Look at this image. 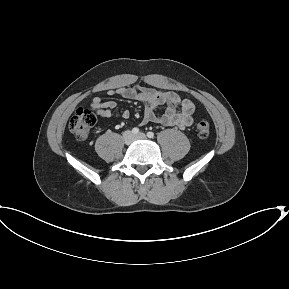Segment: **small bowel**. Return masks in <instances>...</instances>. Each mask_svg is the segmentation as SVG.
<instances>
[{
	"instance_id": "c3829d8e",
	"label": "small bowel",
	"mask_w": 289,
	"mask_h": 289,
	"mask_svg": "<svg viewBox=\"0 0 289 289\" xmlns=\"http://www.w3.org/2000/svg\"><path fill=\"white\" fill-rule=\"evenodd\" d=\"M108 95L143 102L145 105L143 124L154 122L184 129L193 123V115L196 110L194 103L189 99L181 98L175 92H162L146 87H121L108 90ZM160 105H166V108L163 114L156 115L154 110ZM90 107L101 118L129 117L127 110L115 114L113 110L116 109L117 103L113 100L104 101L100 96L93 97Z\"/></svg>"
}]
</instances>
